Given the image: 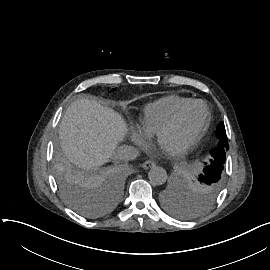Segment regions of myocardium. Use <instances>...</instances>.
<instances>
[{
    "instance_id": "obj_1",
    "label": "myocardium",
    "mask_w": 270,
    "mask_h": 270,
    "mask_svg": "<svg viewBox=\"0 0 270 270\" xmlns=\"http://www.w3.org/2000/svg\"><path fill=\"white\" fill-rule=\"evenodd\" d=\"M196 105H202L204 107L205 121H204L203 125L181 147L175 149L176 153H178V154H185V153L189 152L197 144V142L200 140L202 135L207 130V128H208V126L210 124V121H211V113H210V110H209L208 106L206 105V103L203 102V101H199V100L193 101L192 103H190L189 105H187L183 109H181L157 133V137L159 139H161L162 135L177 129L181 125L185 115Z\"/></svg>"
}]
</instances>
